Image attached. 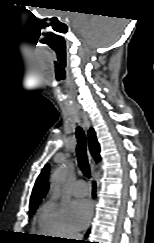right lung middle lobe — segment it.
Here are the masks:
<instances>
[{
    "label": "right lung middle lobe",
    "instance_id": "right-lung-middle-lobe-1",
    "mask_svg": "<svg viewBox=\"0 0 154 243\" xmlns=\"http://www.w3.org/2000/svg\"><path fill=\"white\" fill-rule=\"evenodd\" d=\"M36 209H37V206H35V207H30V212H31V214H34V212L36 211Z\"/></svg>",
    "mask_w": 154,
    "mask_h": 243
}]
</instances>
